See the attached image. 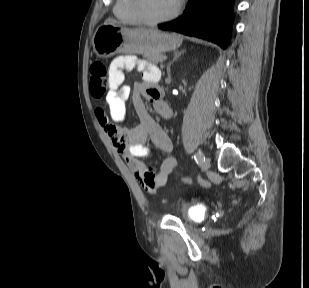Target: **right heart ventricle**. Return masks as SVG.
<instances>
[{
	"instance_id": "1",
	"label": "right heart ventricle",
	"mask_w": 309,
	"mask_h": 288,
	"mask_svg": "<svg viewBox=\"0 0 309 288\" xmlns=\"http://www.w3.org/2000/svg\"><path fill=\"white\" fill-rule=\"evenodd\" d=\"M131 0H116L113 8L116 18L124 24H138L140 21L131 10Z\"/></svg>"
}]
</instances>
